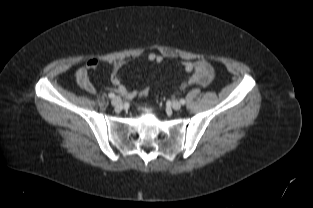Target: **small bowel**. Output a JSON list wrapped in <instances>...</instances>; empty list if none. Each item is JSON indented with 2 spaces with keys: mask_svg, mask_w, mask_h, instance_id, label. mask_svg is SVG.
<instances>
[{
  "mask_svg": "<svg viewBox=\"0 0 313 208\" xmlns=\"http://www.w3.org/2000/svg\"><path fill=\"white\" fill-rule=\"evenodd\" d=\"M147 58L150 62L155 63H161L163 61V57L156 53H149ZM124 63L125 62L123 60H117L113 62L111 82L115 91L127 99H132L137 95V92L134 90H128L122 84L121 77L119 75V70L122 68ZM182 65L184 70L190 73L187 84L206 85L213 77V68L207 61L203 59L196 61H185L182 63ZM98 66L99 61L96 58H91L87 60L85 65L79 68L75 74L77 85L89 94H94L96 92V89L90 80L89 72L97 69Z\"/></svg>",
  "mask_w": 313,
  "mask_h": 208,
  "instance_id": "small-bowel-1",
  "label": "small bowel"
}]
</instances>
